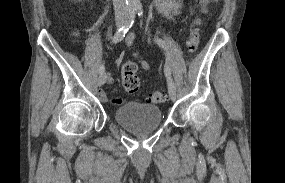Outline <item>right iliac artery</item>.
I'll return each instance as SVG.
<instances>
[{
    "instance_id": "1",
    "label": "right iliac artery",
    "mask_w": 285,
    "mask_h": 183,
    "mask_svg": "<svg viewBox=\"0 0 285 183\" xmlns=\"http://www.w3.org/2000/svg\"><path fill=\"white\" fill-rule=\"evenodd\" d=\"M135 15H136V9H129L128 20L125 23V25L119 28L117 32L114 34V36L112 37V41H111L112 43L116 44L125 37V34L128 32V30L131 28V26L134 23ZM103 73H104V67L100 66L99 74H103Z\"/></svg>"
}]
</instances>
